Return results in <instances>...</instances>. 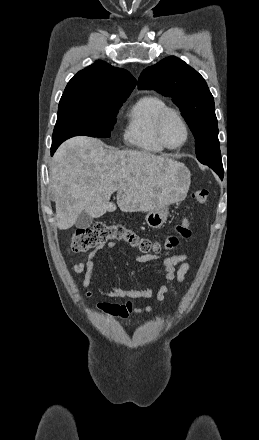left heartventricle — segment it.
Instances as JSON below:
<instances>
[{
    "label": "left heart ventricle",
    "instance_id": "obj_1",
    "mask_svg": "<svg viewBox=\"0 0 259 440\" xmlns=\"http://www.w3.org/2000/svg\"><path fill=\"white\" fill-rule=\"evenodd\" d=\"M163 137L170 146L180 144L185 138V130L175 115H170L163 126Z\"/></svg>",
    "mask_w": 259,
    "mask_h": 440
}]
</instances>
